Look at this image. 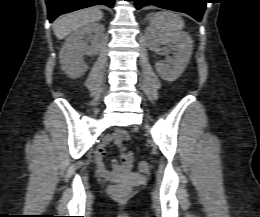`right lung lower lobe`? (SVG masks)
<instances>
[{
    "mask_svg": "<svg viewBox=\"0 0 260 217\" xmlns=\"http://www.w3.org/2000/svg\"><path fill=\"white\" fill-rule=\"evenodd\" d=\"M115 0H46L48 8V19L52 22L61 14L72 12L78 9L104 4L113 7Z\"/></svg>",
    "mask_w": 260,
    "mask_h": 217,
    "instance_id": "98d812e1",
    "label": "right lung lower lobe"
}]
</instances>
